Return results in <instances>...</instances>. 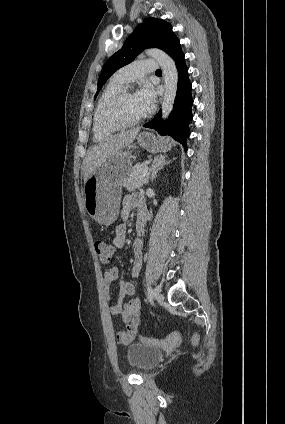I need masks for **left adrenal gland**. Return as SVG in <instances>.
Segmentation results:
<instances>
[{
  "label": "left adrenal gland",
  "instance_id": "left-adrenal-gland-1",
  "mask_svg": "<svg viewBox=\"0 0 285 424\" xmlns=\"http://www.w3.org/2000/svg\"><path fill=\"white\" fill-rule=\"evenodd\" d=\"M167 156H157L154 158L153 163L150 168V181H153L156 176L157 172L162 169L165 165H168L171 160H166Z\"/></svg>",
  "mask_w": 285,
  "mask_h": 424
}]
</instances>
